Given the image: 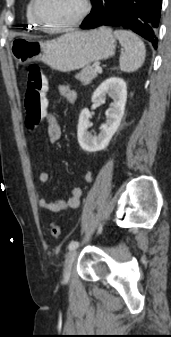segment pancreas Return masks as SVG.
<instances>
[{"mask_svg":"<svg viewBox=\"0 0 171 337\" xmlns=\"http://www.w3.org/2000/svg\"><path fill=\"white\" fill-rule=\"evenodd\" d=\"M97 78V72L94 70V66L87 65L79 73L76 74V79L82 83V85H88L93 79Z\"/></svg>","mask_w":171,"mask_h":337,"instance_id":"1","label":"pancreas"}]
</instances>
